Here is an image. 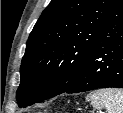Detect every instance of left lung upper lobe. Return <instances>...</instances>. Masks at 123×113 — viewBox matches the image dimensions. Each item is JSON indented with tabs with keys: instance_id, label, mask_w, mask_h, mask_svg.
I'll return each instance as SVG.
<instances>
[{
	"instance_id": "left-lung-upper-lobe-1",
	"label": "left lung upper lobe",
	"mask_w": 123,
	"mask_h": 113,
	"mask_svg": "<svg viewBox=\"0 0 123 113\" xmlns=\"http://www.w3.org/2000/svg\"><path fill=\"white\" fill-rule=\"evenodd\" d=\"M119 0H51L35 24L20 68V107L66 92Z\"/></svg>"
}]
</instances>
